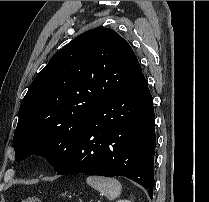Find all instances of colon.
Returning <instances> with one entry per match:
<instances>
[{
    "label": "colon",
    "instance_id": "1",
    "mask_svg": "<svg viewBox=\"0 0 209 202\" xmlns=\"http://www.w3.org/2000/svg\"><path fill=\"white\" fill-rule=\"evenodd\" d=\"M17 202H42V201L37 197H26L18 200Z\"/></svg>",
    "mask_w": 209,
    "mask_h": 202
}]
</instances>
